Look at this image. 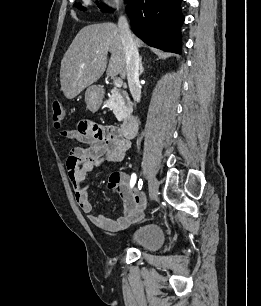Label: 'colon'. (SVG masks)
<instances>
[{
    "label": "colon",
    "mask_w": 261,
    "mask_h": 306,
    "mask_svg": "<svg viewBox=\"0 0 261 306\" xmlns=\"http://www.w3.org/2000/svg\"><path fill=\"white\" fill-rule=\"evenodd\" d=\"M65 118V111L60 102L54 101L52 105L51 119L55 128H60ZM113 182H118L120 180V175L114 172L110 178Z\"/></svg>",
    "instance_id": "1"
}]
</instances>
